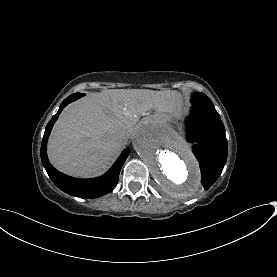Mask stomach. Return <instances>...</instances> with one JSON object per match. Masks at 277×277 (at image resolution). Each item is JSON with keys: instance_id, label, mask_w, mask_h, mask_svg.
Returning <instances> with one entry per match:
<instances>
[{"instance_id": "1", "label": "stomach", "mask_w": 277, "mask_h": 277, "mask_svg": "<svg viewBox=\"0 0 277 277\" xmlns=\"http://www.w3.org/2000/svg\"><path fill=\"white\" fill-rule=\"evenodd\" d=\"M156 116L160 120H164V121H167V120L178 121V120H180L182 118L183 111H182L181 108L176 113H169V112H160V111H158Z\"/></svg>"}]
</instances>
